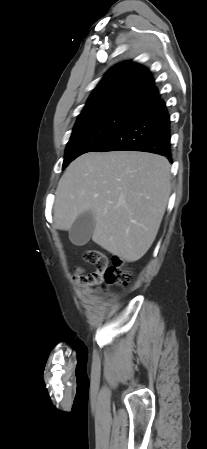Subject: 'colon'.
<instances>
[{
  "label": "colon",
  "mask_w": 207,
  "mask_h": 449,
  "mask_svg": "<svg viewBox=\"0 0 207 449\" xmlns=\"http://www.w3.org/2000/svg\"><path fill=\"white\" fill-rule=\"evenodd\" d=\"M83 260L96 267L90 280L96 281L104 279L105 287L111 285H127L132 280V274L122 268L123 262L115 257L109 265L107 257L100 251L89 249L83 253Z\"/></svg>",
  "instance_id": "5ec220e1"
}]
</instances>
